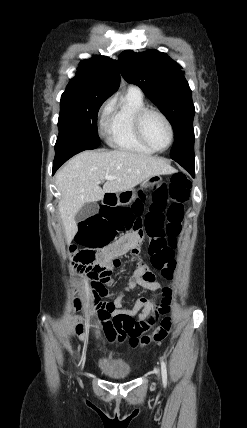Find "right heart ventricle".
<instances>
[{"mask_svg": "<svg viewBox=\"0 0 247 428\" xmlns=\"http://www.w3.org/2000/svg\"><path fill=\"white\" fill-rule=\"evenodd\" d=\"M145 107L143 93L137 87H129L110 105L104 127L111 147L140 154L153 153L138 139L134 129V117Z\"/></svg>", "mask_w": 247, "mask_h": 428, "instance_id": "right-heart-ventricle-1", "label": "right heart ventricle"}]
</instances>
